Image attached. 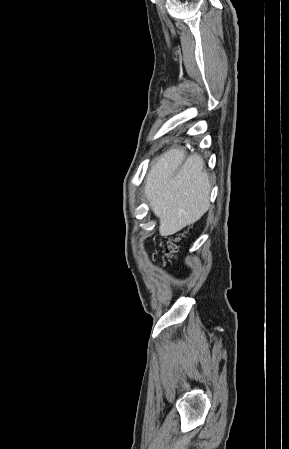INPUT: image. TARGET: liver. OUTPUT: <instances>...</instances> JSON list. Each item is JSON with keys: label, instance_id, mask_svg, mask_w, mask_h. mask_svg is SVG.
Instances as JSON below:
<instances>
[{"label": "liver", "instance_id": "obj_1", "mask_svg": "<svg viewBox=\"0 0 289 449\" xmlns=\"http://www.w3.org/2000/svg\"><path fill=\"white\" fill-rule=\"evenodd\" d=\"M199 155L171 149L151 165L144 194L160 219L159 233L173 235L197 222L209 209L211 184Z\"/></svg>", "mask_w": 289, "mask_h": 449}]
</instances>
